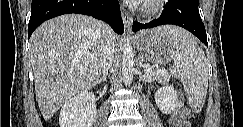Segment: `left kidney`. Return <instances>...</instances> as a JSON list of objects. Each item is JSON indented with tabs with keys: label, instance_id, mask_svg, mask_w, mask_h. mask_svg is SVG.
Returning <instances> with one entry per match:
<instances>
[{
	"label": "left kidney",
	"instance_id": "obj_1",
	"mask_svg": "<svg viewBox=\"0 0 243 127\" xmlns=\"http://www.w3.org/2000/svg\"><path fill=\"white\" fill-rule=\"evenodd\" d=\"M155 102L164 114L172 113L178 106L177 93L173 86H164L155 93Z\"/></svg>",
	"mask_w": 243,
	"mask_h": 127
}]
</instances>
